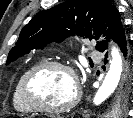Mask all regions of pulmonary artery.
<instances>
[{
    "mask_svg": "<svg viewBox=\"0 0 133 118\" xmlns=\"http://www.w3.org/2000/svg\"><path fill=\"white\" fill-rule=\"evenodd\" d=\"M91 57H92L94 60H98V59L101 58V54L98 53V52L93 51V52L91 53Z\"/></svg>",
    "mask_w": 133,
    "mask_h": 118,
    "instance_id": "1",
    "label": "pulmonary artery"
}]
</instances>
